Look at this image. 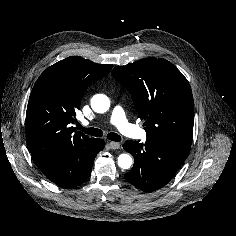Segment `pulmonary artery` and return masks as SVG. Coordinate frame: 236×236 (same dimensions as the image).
I'll return each mask as SVG.
<instances>
[{"instance_id": "obj_1", "label": "pulmonary artery", "mask_w": 236, "mask_h": 236, "mask_svg": "<svg viewBox=\"0 0 236 236\" xmlns=\"http://www.w3.org/2000/svg\"><path fill=\"white\" fill-rule=\"evenodd\" d=\"M110 121L121 133L126 136L141 139L146 138L145 131L137 125L130 123L126 117L124 109L119 105L113 108Z\"/></svg>"}]
</instances>
